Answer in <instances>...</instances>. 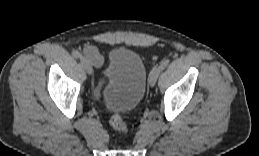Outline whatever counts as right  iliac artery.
I'll list each match as a JSON object with an SVG mask.
<instances>
[{
	"label": "right iliac artery",
	"instance_id": "right-iliac-artery-1",
	"mask_svg": "<svg viewBox=\"0 0 259 156\" xmlns=\"http://www.w3.org/2000/svg\"><path fill=\"white\" fill-rule=\"evenodd\" d=\"M72 55H73L75 58H81V57H82L81 53L78 52V51H73V52H72Z\"/></svg>",
	"mask_w": 259,
	"mask_h": 156
}]
</instances>
